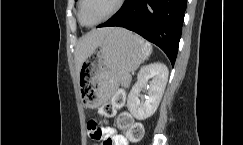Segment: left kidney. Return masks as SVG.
Here are the masks:
<instances>
[{"instance_id": "1", "label": "left kidney", "mask_w": 243, "mask_h": 145, "mask_svg": "<svg viewBox=\"0 0 243 145\" xmlns=\"http://www.w3.org/2000/svg\"><path fill=\"white\" fill-rule=\"evenodd\" d=\"M168 74V68L163 63H153L140 69L137 82L132 87L127 99L128 110L137 120H145L155 113L162 99ZM150 78L152 81L148 86V98L145 101H140V92L147 86Z\"/></svg>"}]
</instances>
